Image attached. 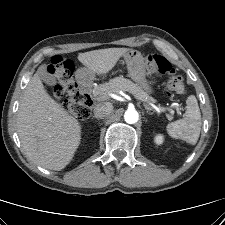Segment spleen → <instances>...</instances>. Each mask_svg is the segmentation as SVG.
Wrapping results in <instances>:
<instances>
[{
	"label": "spleen",
	"instance_id": "spleen-1",
	"mask_svg": "<svg viewBox=\"0 0 225 225\" xmlns=\"http://www.w3.org/2000/svg\"><path fill=\"white\" fill-rule=\"evenodd\" d=\"M186 104L184 118L169 123L166 126V131L174 139H181L195 145L201 131V113L194 95L187 98Z\"/></svg>",
	"mask_w": 225,
	"mask_h": 225
}]
</instances>
